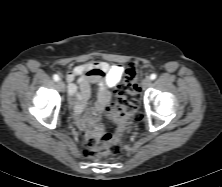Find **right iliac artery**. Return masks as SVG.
Segmentation results:
<instances>
[{
	"mask_svg": "<svg viewBox=\"0 0 222 187\" xmlns=\"http://www.w3.org/2000/svg\"><path fill=\"white\" fill-rule=\"evenodd\" d=\"M53 79H54L55 81H59L60 78H59V76H58L57 74H54V75H53Z\"/></svg>",
	"mask_w": 222,
	"mask_h": 187,
	"instance_id": "obj_1",
	"label": "right iliac artery"
}]
</instances>
